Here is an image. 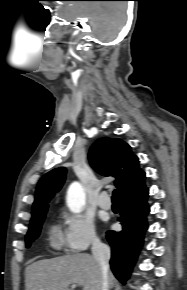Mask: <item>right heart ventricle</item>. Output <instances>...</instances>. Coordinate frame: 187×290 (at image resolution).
I'll list each match as a JSON object with an SVG mask.
<instances>
[{
    "instance_id": "right-heart-ventricle-1",
    "label": "right heart ventricle",
    "mask_w": 187,
    "mask_h": 290,
    "mask_svg": "<svg viewBox=\"0 0 187 290\" xmlns=\"http://www.w3.org/2000/svg\"><path fill=\"white\" fill-rule=\"evenodd\" d=\"M50 243H51V246L56 248V249H59L62 246V244H63L62 234H61L60 230L56 226H54L51 229Z\"/></svg>"
}]
</instances>
